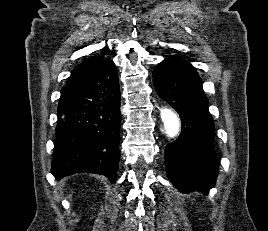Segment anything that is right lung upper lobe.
Returning a JSON list of instances; mask_svg holds the SVG:
<instances>
[{
	"mask_svg": "<svg viewBox=\"0 0 268 231\" xmlns=\"http://www.w3.org/2000/svg\"><path fill=\"white\" fill-rule=\"evenodd\" d=\"M105 61H107V59L99 57H92L88 60L83 61L74 68L68 81V84L63 89H65L69 84L88 76Z\"/></svg>",
	"mask_w": 268,
	"mask_h": 231,
	"instance_id": "1",
	"label": "right lung upper lobe"
}]
</instances>
